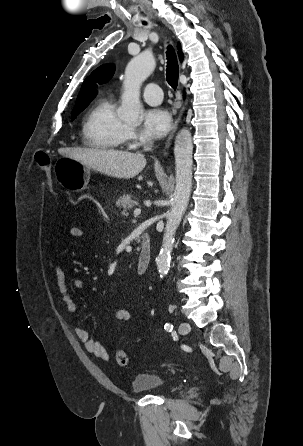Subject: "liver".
<instances>
[{
    "instance_id": "6515ba94",
    "label": "liver",
    "mask_w": 303,
    "mask_h": 446,
    "mask_svg": "<svg viewBox=\"0 0 303 446\" xmlns=\"http://www.w3.org/2000/svg\"><path fill=\"white\" fill-rule=\"evenodd\" d=\"M59 153L102 174L120 179L135 177L146 165V159L142 154L126 151L64 148L60 149Z\"/></svg>"
}]
</instances>
